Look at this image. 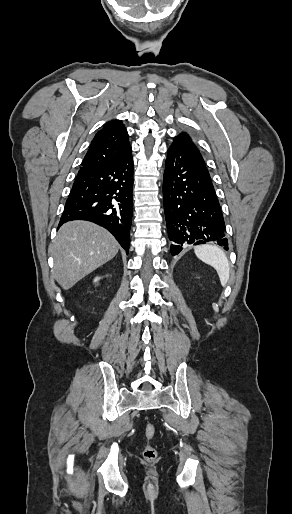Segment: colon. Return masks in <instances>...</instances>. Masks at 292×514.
I'll list each match as a JSON object with an SVG mask.
<instances>
[{
    "label": "colon",
    "instance_id": "5ec220e1",
    "mask_svg": "<svg viewBox=\"0 0 292 514\" xmlns=\"http://www.w3.org/2000/svg\"><path fill=\"white\" fill-rule=\"evenodd\" d=\"M144 433L146 436L147 444L143 448L142 455L144 460L151 462L156 460L158 455L156 448L151 443L156 435L155 425L152 422H147L144 427Z\"/></svg>",
    "mask_w": 292,
    "mask_h": 514
}]
</instances>
